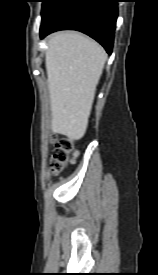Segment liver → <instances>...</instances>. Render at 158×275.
I'll return each instance as SVG.
<instances>
[{
	"label": "liver",
	"instance_id": "obj_1",
	"mask_svg": "<svg viewBox=\"0 0 158 275\" xmlns=\"http://www.w3.org/2000/svg\"><path fill=\"white\" fill-rule=\"evenodd\" d=\"M107 54L94 40L77 32H58L45 53L54 133L79 140L86 132L96 87Z\"/></svg>",
	"mask_w": 158,
	"mask_h": 275
}]
</instances>
